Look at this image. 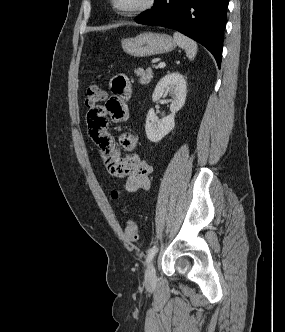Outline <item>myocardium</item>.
<instances>
[{
	"label": "myocardium",
	"instance_id": "myocardium-1",
	"mask_svg": "<svg viewBox=\"0 0 285 332\" xmlns=\"http://www.w3.org/2000/svg\"><path fill=\"white\" fill-rule=\"evenodd\" d=\"M157 0H144L142 4L129 8L123 9L118 7L117 0H109L111 9L122 17H135L151 11L156 6Z\"/></svg>",
	"mask_w": 285,
	"mask_h": 332
}]
</instances>
